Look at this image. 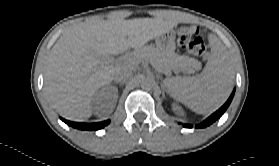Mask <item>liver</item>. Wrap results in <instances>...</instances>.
Listing matches in <instances>:
<instances>
[{
    "mask_svg": "<svg viewBox=\"0 0 279 166\" xmlns=\"http://www.w3.org/2000/svg\"><path fill=\"white\" fill-rule=\"evenodd\" d=\"M176 13L125 20L93 17L69 27L51 49L44 78L45 93L63 117L84 121L92 115L91 98L125 65L106 62L109 55L139 49L176 26Z\"/></svg>",
    "mask_w": 279,
    "mask_h": 166,
    "instance_id": "liver-1",
    "label": "liver"
}]
</instances>
